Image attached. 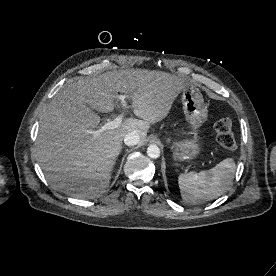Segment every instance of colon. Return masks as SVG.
Instances as JSON below:
<instances>
[{
  "mask_svg": "<svg viewBox=\"0 0 276 276\" xmlns=\"http://www.w3.org/2000/svg\"><path fill=\"white\" fill-rule=\"evenodd\" d=\"M217 139L220 145L228 150H235L237 142L232 132V122L229 118H220L215 123Z\"/></svg>",
  "mask_w": 276,
  "mask_h": 276,
  "instance_id": "obj_1",
  "label": "colon"
}]
</instances>
